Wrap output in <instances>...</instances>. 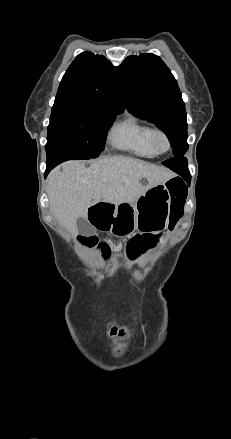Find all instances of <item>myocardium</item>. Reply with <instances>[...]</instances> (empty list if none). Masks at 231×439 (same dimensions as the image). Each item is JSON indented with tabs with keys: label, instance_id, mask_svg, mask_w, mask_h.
Wrapping results in <instances>:
<instances>
[{
	"label": "myocardium",
	"instance_id": "1",
	"mask_svg": "<svg viewBox=\"0 0 231 439\" xmlns=\"http://www.w3.org/2000/svg\"><path fill=\"white\" fill-rule=\"evenodd\" d=\"M151 143L157 154H164L171 149L172 143L169 134L161 128L153 129Z\"/></svg>",
	"mask_w": 231,
	"mask_h": 439
}]
</instances>
